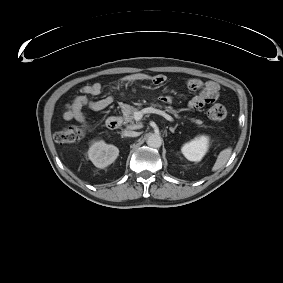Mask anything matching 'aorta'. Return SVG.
<instances>
[{"label": "aorta", "instance_id": "obj_1", "mask_svg": "<svg viewBox=\"0 0 283 283\" xmlns=\"http://www.w3.org/2000/svg\"><path fill=\"white\" fill-rule=\"evenodd\" d=\"M147 145L152 148H159L162 145V138L159 134H151L148 136Z\"/></svg>", "mask_w": 283, "mask_h": 283}]
</instances>
